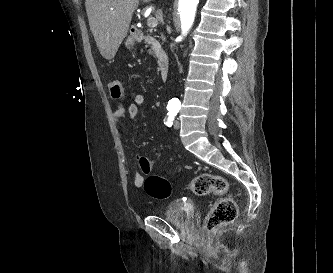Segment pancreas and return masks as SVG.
I'll return each instance as SVG.
<instances>
[{
	"label": "pancreas",
	"instance_id": "pancreas-1",
	"mask_svg": "<svg viewBox=\"0 0 333 273\" xmlns=\"http://www.w3.org/2000/svg\"><path fill=\"white\" fill-rule=\"evenodd\" d=\"M154 49H155L154 47H151V49L149 50V53L153 54L154 53Z\"/></svg>",
	"mask_w": 333,
	"mask_h": 273
}]
</instances>
